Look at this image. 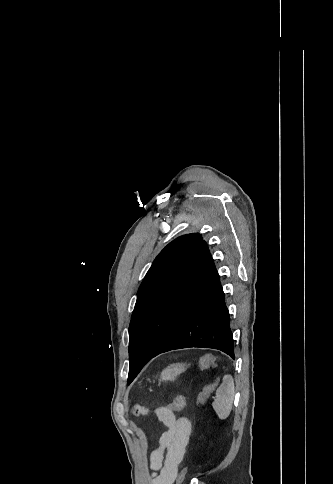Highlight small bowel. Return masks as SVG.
Here are the masks:
<instances>
[{
    "instance_id": "c3829d8e",
    "label": "small bowel",
    "mask_w": 333,
    "mask_h": 484,
    "mask_svg": "<svg viewBox=\"0 0 333 484\" xmlns=\"http://www.w3.org/2000/svg\"><path fill=\"white\" fill-rule=\"evenodd\" d=\"M153 413L167 430L160 437L159 447L151 453L152 484H173L190 439L192 425L187 417L176 416L165 406L154 409Z\"/></svg>"
}]
</instances>
